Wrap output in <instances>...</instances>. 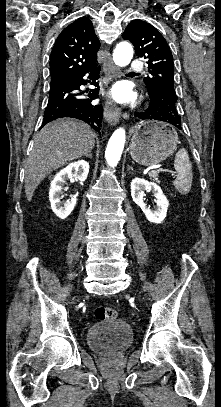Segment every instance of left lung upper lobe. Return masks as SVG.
<instances>
[{
	"instance_id": "left-lung-upper-lobe-1",
	"label": "left lung upper lobe",
	"mask_w": 221,
	"mask_h": 407,
	"mask_svg": "<svg viewBox=\"0 0 221 407\" xmlns=\"http://www.w3.org/2000/svg\"><path fill=\"white\" fill-rule=\"evenodd\" d=\"M122 37L134 45L136 55L148 64L151 76L144 78V82L149 95L162 88L175 92L173 56L159 31L151 24L136 19L128 24Z\"/></svg>"
}]
</instances>
